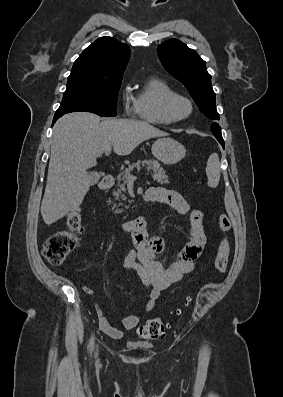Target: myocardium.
Returning <instances> with one entry per match:
<instances>
[{
	"label": "myocardium",
	"mask_w": 283,
	"mask_h": 397,
	"mask_svg": "<svg viewBox=\"0 0 283 397\" xmlns=\"http://www.w3.org/2000/svg\"><path fill=\"white\" fill-rule=\"evenodd\" d=\"M178 103H184L187 106V111L184 114H178L176 111V105ZM164 112L167 118L171 122H180L188 119L193 113V103L190 98L182 94H174L170 96L164 104Z\"/></svg>",
	"instance_id": "myocardium-1"
}]
</instances>
